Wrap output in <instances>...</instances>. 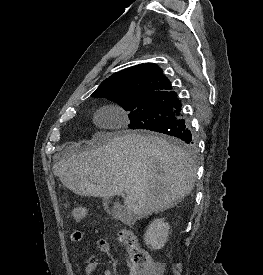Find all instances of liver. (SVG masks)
Instances as JSON below:
<instances>
[{
    "label": "liver",
    "mask_w": 263,
    "mask_h": 275,
    "mask_svg": "<svg viewBox=\"0 0 263 275\" xmlns=\"http://www.w3.org/2000/svg\"><path fill=\"white\" fill-rule=\"evenodd\" d=\"M89 143L97 145L59 159L54 175L78 195L122 196L129 220L164 211L194 188L193 159L166 138L97 132Z\"/></svg>",
    "instance_id": "obj_1"
}]
</instances>
